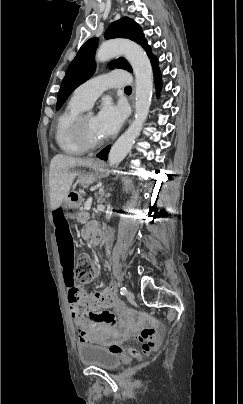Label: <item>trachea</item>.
Here are the masks:
<instances>
[{
	"instance_id": "trachea-1",
	"label": "trachea",
	"mask_w": 243,
	"mask_h": 404,
	"mask_svg": "<svg viewBox=\"0 0 243 404\" xmlns=\"http://www.w3.org/2000/svg\"><path fill=\"white\" fill-rule=\"evenodd\" d=\"M125 90L132 91V87H125Z\"/></svg>"
}]
</instances>
